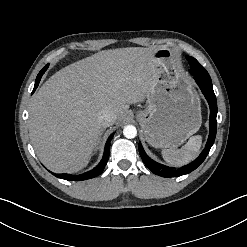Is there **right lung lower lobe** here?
Listing matches in <instances>:
<instances>
[{"instance_id": "98d812e1", "label": "right lung lower lobe", "mask_w": 247, "mask_h": 247, "mask_svg": "<svg viewBox=\"0 0 247 247\" xmlns=\"http://www.w3.org/2000/svg\"><path fill=\"white\" fill-rule=\"evenodd\" d=\"M48 68V65H46L38 74L37 78H36V81H35V86H34V89H33V92L36 90V88L38 87V84L40 82V79L42 77V75L44 74V72L46 71V69ZM32 92V93H33ZM113 137V134L110 135V137L108 138L107 142H106V146H105V151H104V155H103V158L101 160V162L91 171H88L86 173H83V174H80V175H76V176H73V175H70V174H66V173H63V174H55V173H52L54 176L58 177V178H61V179H64V180H68V181H82V180H86V179H91V178H94L98 175H100L107 162H108V159H109V152H110V141Z\"/></svg>"}]
</instances>
